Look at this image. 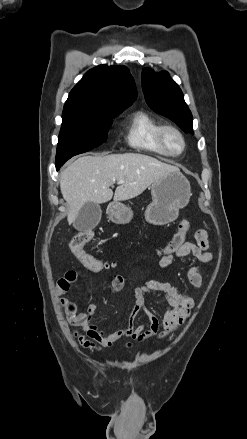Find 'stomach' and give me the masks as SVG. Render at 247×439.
I'll use <instances>...</instances> for the list:
<instances>
[{
  "label": "stomach",
  "instance_id": "1",
  "mask_svg": "<svg viewBox=\"0 0 247 439\" xmlns=\"http://www.w3.org/2000/svg\"><path fill=\"white\" fill-rule=\"evenodd\" d=\"M152 202L145 211V219L154 225H164L178 217L191 197V187L180 172H171L156 180L151 187ZM110 220L116 224H127L133 217L131 208L113 202L107 208Z\"/></svg>",
  "mask_w": 247,
  "mask_h": 439
}]
</instances>
